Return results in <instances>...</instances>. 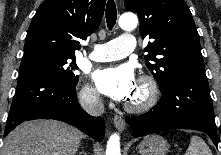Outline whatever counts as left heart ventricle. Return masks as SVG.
<instances>
[{"label":"left heart ventricle","mask_w":221,"mask_h":155,"mask_svg":"<svg viewBox=\"0 0 221 155\" xmlns=\"http://www.w3.org/2000/svg\"><path fill=\"white\" fill-rule=\"evenodd\" d=\"M144 96V90L143 88L138 84L135 92L133 93L132 97L128 100V102H138L140 101Z\"/></svg>","instance_id":"obj_1"}]
</instances>
